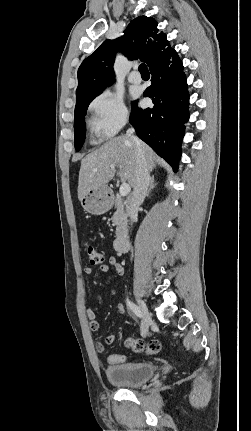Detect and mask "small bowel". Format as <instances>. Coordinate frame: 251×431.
<instances>
[{
  "mask_svg": "<svg viewBox=\"0 0 251 431\" xmlns=\"http://www.w3.org/2000/svg\"><path fill=\"white\" fill-rule=\"evenodd\" d=\"M99 268H100L101 272H109L111 270V268H113L117 275L121 276L124 274V268H123L122 264L114 256H109L108 257V264L102 263ZM83 272L85 275L89 276L93 273V269L91 267L87 266L83 269ZM116 309L120 315H123L125 313V307L121 303L117 304ZM86 316L89 320L90 329L92 331H98L100 328V322L97 319L95 312L92 309H87L86 310ZM116 338H117V336L115 334L107 335L102 342L98 341L96 343V349L99 352H102L104 350L105 344L109 345V344L114 343L116 341Z\"/></svg>",
  "mask_w": 251,
  "mask_h": 431,
  "instance_id": "small-bowel-1",
  "label": "small bowel"
}]
</instances>
